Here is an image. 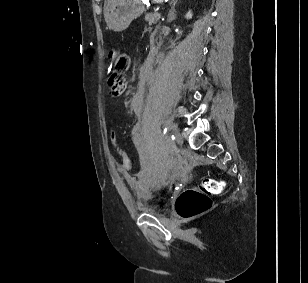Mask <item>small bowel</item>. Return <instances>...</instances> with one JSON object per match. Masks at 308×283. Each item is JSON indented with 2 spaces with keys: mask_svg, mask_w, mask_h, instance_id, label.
Masks as SVG:
<instances>
[{
  "mask_svg": "<svg viewBox=\"0 0 308 283\" xmlns=\"http://www.w3.org/2000/svg\"><path fill=\"white\" fill-rule=\"evenodd\" d=\"M109 86H110V94L113 97L120 96L125 90V85L117 87L109 84ZM144 106H145L144 93L139 91L132 97L129 104V110L132 114L136 116H141L144 110Z\"/></svg>",
  "mask_w": 308,
  "mask_h": 283,
  "instance_id": "1",
  "label": "small bowel"
}]
</instances>
